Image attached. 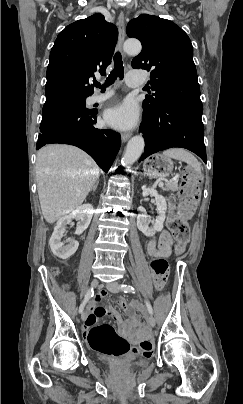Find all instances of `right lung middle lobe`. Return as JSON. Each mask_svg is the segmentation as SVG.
I'll list each match as a JSON object with an SVG mask.
<instances>
[{"instance_id": "dd1d6c3e", "label": "right lung middle lobe", "mask_w": 243, "mask_h": 404, "mask_svg": "<svg viewBox=\"0 0 243 404\" xmlns=\"http://www.w3.org/2000/svg\"><path fill=\"white\" fill-rule=\"evenodd\" d=\"M85 99H86V97L68 98V99H62V100H58V101H55L52 103L44 104L42 116L45 117L59 109L67 108V107L79 106V107L85 108Z\"/></svg>"}]
</instances>
